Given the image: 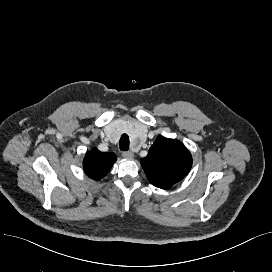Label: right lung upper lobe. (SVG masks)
<instances>
[{
  "label": "right lung upper lobe",
  "mask_w": 272,
  "mask_h": 272,
  "mask_svg": "<svg viewBox=\"0 0 272 272\" xmlns=\"http://www.w3.org/2000/svg\"><path fill=\"white\" fill-rule=\"evenodd\" d=\"M116 159L115 154L100 152L94 148L85 156L84 170L89 177L99 180L109 172Z\"/></svg>",
  "instance_id": "right-lung-upper-lobe-1"
}]
</instances>
